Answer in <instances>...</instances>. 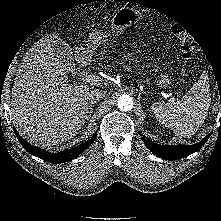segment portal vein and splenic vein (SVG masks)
Wrapping results in <instances>:
<instances>
[{"instance_id":"18ae733b","label":"portal vein and splenic vein","mask_w":221,"mask_h":221,"mask_svg":"<svg viewBox=\"0 0 221 221\" xmlns=\"http://www.w3.org/2000/svg\"><path fill=\"white\" fill-rule=\"evenodd\" d=\"M125 69H127L128 71H130V69L128 67H126ZM82 79L85 83H89L91 85H95V84H100L102 82V78L98 75H83Z\"/></svg>"}]
</instances>
